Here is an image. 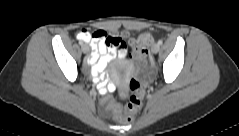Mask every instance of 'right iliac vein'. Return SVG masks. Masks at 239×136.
Returning <instances> with one entry per match:
<instances>
[{"label": "right iliac vein", "mask_w": 239, "mask_h": 136, "mask_svg": "<svg viewBox=\"0 0 239 136\" xmlns=\"http://www.w3.org/2000/svg\"><path fill=\"white\" fill-rule=\"evenodd\" d=\"M81 49H82V51H83L84 53H88L89 50H90V48H89V46H88L87 44H84V45L81 47Z\"/></svg>", "instance_id": "obj_1"}]
</instances>
